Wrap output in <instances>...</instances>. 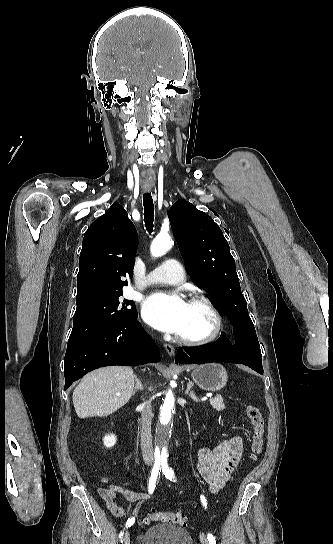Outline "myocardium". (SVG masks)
Returning <instances> with one entry per match:
<instances>
[{
	"mask_svg": "<svg viewBox=\"0 0 333 544\" xmlns=\"http://www.w3.org/2000/svg\"><path fill=\"white\" fill-rule=\"evenodd\" d=\"M189 303L204 305L209 310L210 314L212 315L213 327L211 331L204 337L187 338V337L178 335L177 337L178 340L181 343L185 345H189V346H202V345H206L215 341L222 332L223 322H224L223 315L220 309L218 308V306L215 304V302L211 298L203 294H197L192 296Z\"/></svg>",
	"mask_w": 333,
	"mask_h": 544,
	"instance_id": "f54148a6",
	"label": "myocardium"
}]
</instances>
